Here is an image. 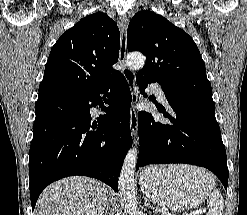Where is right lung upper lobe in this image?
<instances>
[{
    "label": "right lung upper lobe",
    "mask_w": 247,
    "mask_h": 215,
    "mask_svg": "<svg viewBox=\"0 0 247 215\" xmlns=\"http://www.w3.org/2000/svg\"><path fill=\"white\" fill-rule=\"evenodd\" d=\"M120 33L103 12L81 19L52 47L42 83L82 90L96 87L117 70Z\"/></svg>",
    "instance_id": "cb5924a9"
}]
</instances>
